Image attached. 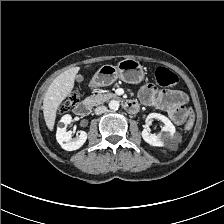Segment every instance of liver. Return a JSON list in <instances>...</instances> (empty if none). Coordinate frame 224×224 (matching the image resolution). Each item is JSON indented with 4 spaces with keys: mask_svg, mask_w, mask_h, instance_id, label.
Wrapping results in <instances>:
<instances>
[{
    "mask_svg": "<svg viewBox=\"0 0 224 224\" xmlns=\"http://www.w3.org/2000/svg\"><path fill=\"white\" fill-rule=\"evenodd\" d=\"M80 67H73L57 76L48 87L43 100L45 123L50 131L53 130L57 110L63 100L70 95L74 88L75 77Z\"/></svg>",
    "mask_w": 224,
    "mask_h": 224,
    "instance_id": "6515ba94",
    "label": "liver"
}]
</instances>
